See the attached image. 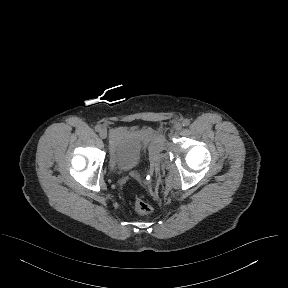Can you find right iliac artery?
<instances>
[{
    "label": "right iliac artery",
    "instance_id": "82829eb1",
    "mask_svg": "<svg viewBox=\"0 0 288 288\" xmlns=\"http://www.w3.org/2000/svg\"><path fill=\"white\" fill-rule=\"evenodd\" d=\"M95 130H96L97 132H100V131L102 130V128H101L100 125H96V126H95Z\"/></svg>",
    "mask_w": 288,
    "mask_h": 288
}]
</instances>
